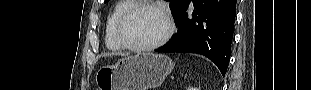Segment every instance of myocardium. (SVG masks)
Returning a JSON list of instances; mask_svg holds the SVG:
<instances>
[{
  "label": "myocardium",
  "instance_id": "obj_1",
  "mask_svg": "<svg viewBox=\"0 0 311 90\" xmlns=\"http://www.w3.org/2000/svg\"><path fill=\"white\" fill-rule=\"evenodd\" d=\"M142 8H151L156 11H158L164 18L166 22V31L164 35L157 40L156 42L149 44V45H144V46H135L129 43L124 35H123V28L126 24V22L129 20V18L139 9ZM174 21L173 18L170 14V12L161 4L154 3V2H148V1H143V2H138L132 5L128 10H126L118 19L117 25H116V38L119 42V44L124 48L127 49L131 52H136V53H145L152 51L154 49H157L164 45L170 37L174 33Z\"/></svg>",
  "mask_w": 311,
  "mask_h": 90
}]
</instances>
